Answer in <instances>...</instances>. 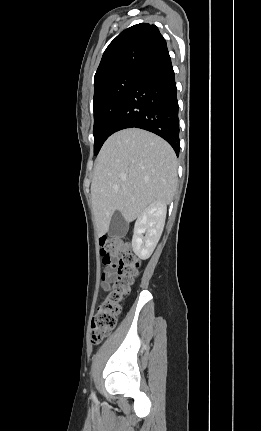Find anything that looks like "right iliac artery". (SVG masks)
<instances>
[{
  "mask_svg": "<svg viewBox=\"0 0 261 431\" xmlns=\"http://www.w3.org/2000/svg\"><path fill=\"white\" fill-rule=\"evenodd\" d=\"M91 395H92V398H93V399H95V394H94L93 392H92V394H91Z\"/></svg>",
  "mask_w": 261,
  "mask_h": 431,
  "instance_id": "obj_1",
  "label": "right iliac artery"
}]
</instances>
